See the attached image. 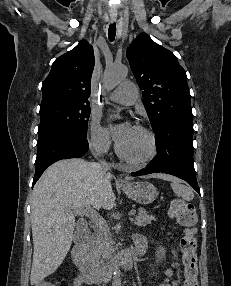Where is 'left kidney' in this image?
Listing matches in <instances>:
<instances>
[{"label":"left kidney","mask_w":231,"mask_h":286,"mask_svg":"<svg viewBox=\"0 0 231 286\" xmlns=\"http://www.w3.org/2000/svg\"><path fill=\"white\" fill-rule=\"evenodd\" d=\"M156 253H157L156 254V256H157L156 260L159 261V260L163 259L165 256V249L162 247H159V249H157Z\"/></svg>","instance_id":"1"}]
</instances>
